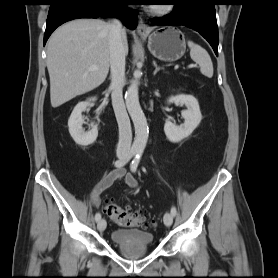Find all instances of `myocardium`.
<instances>
[{"mask_svg":"<svg viewBox=\"0 0 278 278\" xmlns=\"http://www.w3.org/2000/svg\"><path fill=\"white\" fill-rule=\"evenodd\" d=\"M174 9V5L171 3L161 4L157 6H153L151 8V12L158 16H165L170 14Z\"/></svg>","mask_w":278,"mask_h":278,"instance_id":"myocardium-1","label":"myocardium"}]
</instances>
